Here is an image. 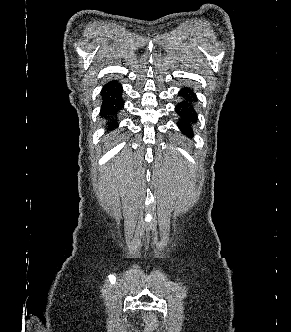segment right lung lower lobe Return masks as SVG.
I'll return each instance as SVG.
<instances>
[{
  "label": "right lung lower lobe",
  "mask_w": 291,
  "mask_h": 332,
  "mask_svg": "<svg viewBox=\"0 0 291 332\" xmlns=\"http://www.w3.org/2000/svg\"><path fill=\"white\" fill-rule=\"evenodd\" d=\"M122 87L117 81L108 82L101 91L103 99L100 115L108 120L110 129L117 126V114L123 109Z\"/></svg>",
  "instance_id": "obj_1"
}]
</instances>
